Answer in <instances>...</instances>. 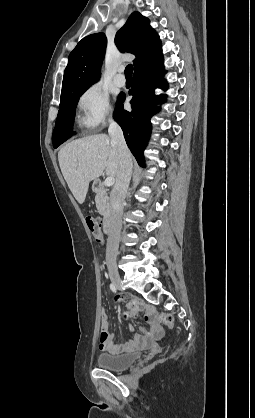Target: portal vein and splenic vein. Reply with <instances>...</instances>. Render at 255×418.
Here are the masks:
<instances>
[{
	"label": "portal vein and splenic vein",
	"instance_id": "18ae733b",
	"mask_svg": "<svg viewBox=\"0 0 255 418\" xmlns=\"http://www.w3.org/2000/svg\"><path fill=\"white\" fill-rule=\"evenodd\" d=\"M114 182H115V178L112 176H108L104 181V185L106 187H110V186H113Z\"/></svg>",
	"mask_w": 255,
	"mask_h": 418
}]
</instances>
